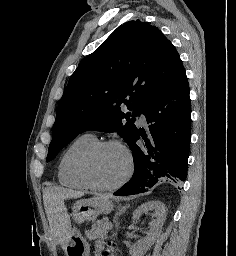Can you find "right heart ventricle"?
I'll return each instance as SVG.
<instances>
[{
  "label": "right heart ventricle",
  "mask_w": 236,
  "mask_h": 256,
  "mask_svg": "<svg viewBox=\"0 0 236 256\" xmlns=\"http://www.w3.org/2000/svg\"><path fill=\"white\" fill-rule=\"evenodd\" d=\"M96 143L97 139L91 134H82L72 142L58 163L57 177L61 185L73 189H87L80 174L81 162Z\"/></svg>",
  "instance_id": "right-heart-ventricle-1"
}]
</instances>
